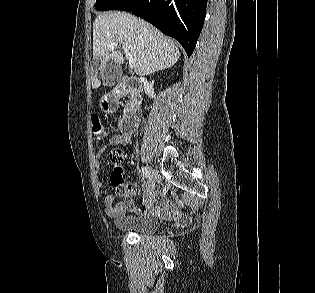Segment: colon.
<instances>
[{
    "instance_id": "obj_1",
    "label": "colon",
    "mask_w": 315,
    "mask_h": 293,
    "mask_svg": "<svg viewBox=\"0 0 315 293\" xmlns=\"http://www.w3.org/2000/svg\"><path fill=\"white\" fill-rule=\"evenodd\" d=\"M92 131L93 136L96 140H102L105 137V130L100 122V119L97 115H94L92 118ZM112 162L118 164L122 159V153L119 150H115L110 154ZM111 182L116 188L119 194L123 195L124 190H134L128 188L127 185L123 183L122 169L116 168L111 175Z\"/></svg>"
}]
</instances>
